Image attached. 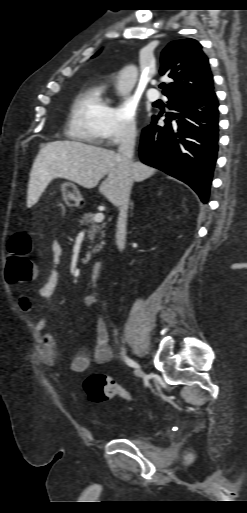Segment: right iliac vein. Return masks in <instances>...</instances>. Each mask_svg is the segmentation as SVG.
<instances>
[{
	"label": "right iliac vein",
	"mask_w": 247,
	"mask_h": 513,
	"mask_svg": "<svg viewBox=\"0 0 247 513\" xmlns=\"http://www.w3.org/2000/svg\"><path fill=\"white\" fill-rule=\"evenodd\" d=\"M137 375L140 377L143 374V371L141 368L137 369Z\"/></svg>",
	"instance_id": "63e3f726"
}]
</instances>
